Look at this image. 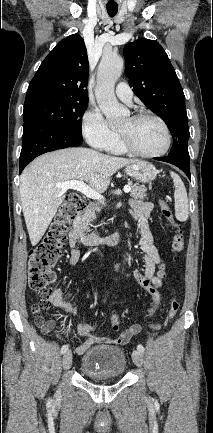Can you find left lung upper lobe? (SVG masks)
I'll use <instances>...</instances> for the list:
<instances>
[{
    "instance_id": "1",
    "label": "left lung upper lobe",
    "mask_w": 213,
    "mask_h": 433,
    "mask_svg": "<svg viewBox=\"0 0 213 433\" xmlns=\"http://www.w3.org/2000/svg\"><path fill=\"white\" fill-rule=\"evenodd\" d=\"M123 53L133 92L165 121L173 134L169 156L189 160L185 96L163 47L153 40L138 39L126 45Z\"/></svg>"
}]
</instances>
